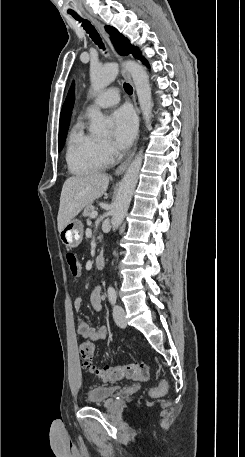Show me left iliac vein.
<instances>
[{
  "mask_svg": "<svg viewBox=\"0 0 245 457\" xmlns=\"http://www.w3.org/2000/svg\"><path fill=\"white\" fill-rule=\"evenodd\" d=\"M113 318L119 327L124 328L126 326L125 311L122 306L116 305L114 307Z\"/></svg>",
  "mask_w": 245,
  "mask_h": 457,
  "instance_id": "obj_1",
  "label": "left iliac vein"
}]
</instances>
